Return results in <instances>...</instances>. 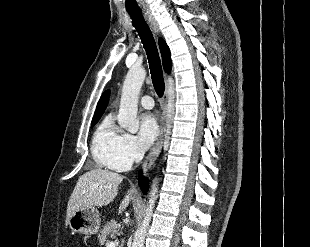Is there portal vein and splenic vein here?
<instances>
[{
  "label": "portal vein and splenic vein",
  "instance_id": "18ae733b",
  "mask_svg": "<svg viewBox=\"0 0 310 247\" xmlns=\"http://www.w3.org/2000/svg\"><path fill=\"white\" fill-rule=\"evenodd\" d=\"M119 244V241H110L106 244V247H116Z\"/></svg>",
  "mask_w": 310,
  "mask_h": 247
}]
</instances>
